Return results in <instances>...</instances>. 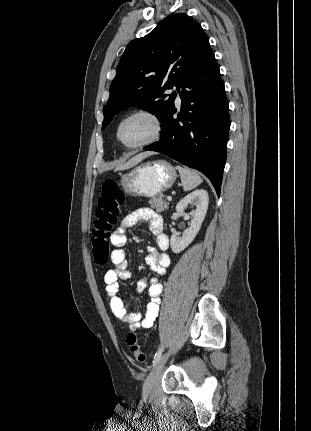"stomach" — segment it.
I'll use <instances>...</instances> for the list:
<instances>
[{"label": "stomach", "mask_w": 311, "mask_h": 431, "mask_svg": "<svg viewBox=\"0 0 311 431\" xmlns=\"http://www.w3.org/2000/svg\"><path fill=\"white\" fill-rule=\"evenodd\" d=\"M177 174L175 168L165 160H154L135 166L133 170L120 176L119 184L128 196L157 198L172 188Z\"/></svg>", "instance_id": "1"}]
</instances>
